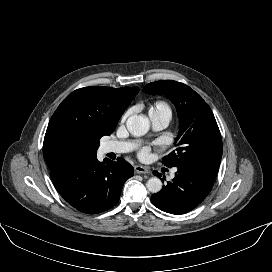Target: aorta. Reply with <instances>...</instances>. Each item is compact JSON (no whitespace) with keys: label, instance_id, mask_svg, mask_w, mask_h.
<instances>
[{"label":"aorta","instance_id":"762f6f07","mask_svg":"<svg viewBox=\"0 0 272 272\" xmlns=\"http://www.w3.org/2000/svg\"><path fill=\"white\" fill-rule=\"evenodd\" d=\"M126 126L128 131L134 136H143L149 131L148 121L136 115L127 119ZM146 187L148 191L157 193L162 188V182L159 178L152 177L147 181Z\"/></svg>","mask_w":272,"mask_h":272}]
</instances>
